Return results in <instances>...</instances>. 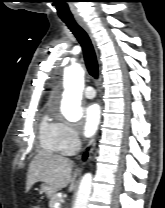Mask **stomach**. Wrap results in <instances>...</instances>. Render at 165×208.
I'll use <instances>...</instances> for the list:
<instances>
[{
  "label": "stomach",
  "mask_w": 165,
  "mask_h": 208,
  "mask_svg": "<svg viewBox=\"0 0 165 208\" xmlns=\"http://www.w3.org/2000/svg\"><path fill=\"white\" fill-rule=\"evenodd\" d=\"M41 191L48 197L51 198L55 193L56 189L50 185L42 184L41 185Z\"/></svg>",
  "instance_id": "obj_1"
}]
</instances>
